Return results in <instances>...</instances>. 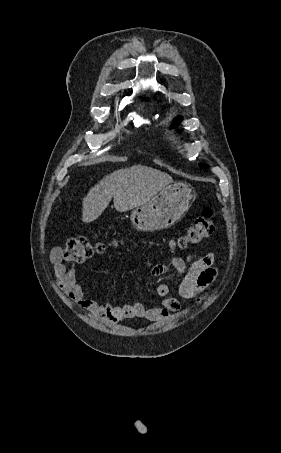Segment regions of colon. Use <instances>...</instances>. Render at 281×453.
Wrapping results in <instances>:
<instances>
[{
	"label": "colon",
	"mask_w": 281,
	"mask_h": 453,
	"mask_svg": "<svg viewBox=\"0 0 281 453\" xmlns=\"http://www.w3.org/2000/svg\"><path fill=\"white\" fill-rule=\"evenodd\" d=\"M214 226L212 210L206 205L203 214L195 220V223L186 232H178V249L184 250L199 245L210 236ZM100 252L101 247L98 243L94 242L88 235L80 234L67 239L63 257L68 262H84Z\"/></svg>",
	"instance_id": "5ec220e1"
}]
</instances>
